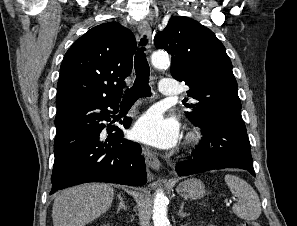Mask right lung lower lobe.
Wrapping results in <instances>:
<instances>
[{"label": "right lung lower lobe", "instance_id": "right-lung-lower-lobe-1", "mask_svg": "<svg viewBox=\"0 0 297 226\" xmlns=\"http://www.w3.org/2000/svg\"><path fill=\"white\" fill-rule=\"evenodd\" d=\"M120 101H85L57 110L54 167L50 195L60 189L87 182H111L140 186L147 182L139 144L123 139L119 128L105 136L102 120L116 113ZM110 107L114 111H109ZM120 123L127 129L131 118Z\"/></svg>", "mask_w": 297, "mask_h": 226}]
</instances>
